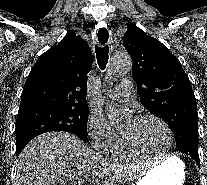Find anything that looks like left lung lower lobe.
I'll use <instances>...</instances> for the list:
<instances>
[{"label":"left lung lower lobe","instance_id":"1","mask_svg":"<svg viewBox=\"0 0 207 185\" xmlns=\"http://www.w3.org/2000/svg\"><path fill=\"white\" fill-rule=\"evenodd\" d=\"M188 155H190L196 161L197 165L200 164L199 163L200 159H199V155L198 154L193 153V154H188Z\"/></svg>","mask_w":207,"mask_h":185}]
</instances>
